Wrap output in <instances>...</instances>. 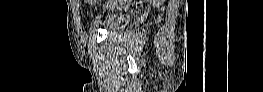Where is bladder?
Returning a JSON list of instances; mask_svg holds the SVG:
<instances>
[{"label": "bladder", "instance_id": "1", "mask_svg": "<svg viewBox=\"0 0 263 92\" xmlns=\"http://www.w3.org/2000/svg\"><path fill=\"white\" fill-rule=\"evenodd\" d=\"M130 20L129 13L113 10L104 15L100 24L106 30H115L126 27L130 23Z\"/></svg>", "mask_w": 263, "mask_h": 92}]
</instances>
